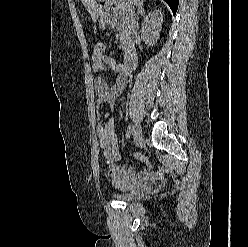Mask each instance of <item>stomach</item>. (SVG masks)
Masks as SVG:
<instances>
[{"mask_svg":"<svg viewBox=\"0 0 248 247\" xmlns=\"http://www.w3.org/2000/svg\"><path fill=\"white\" fill-rule=\"evenodd\" d=\"M101 26L104 27L105 26V23L103 21H101Z\"/></svg>","mask_w":248,"mask_h":247,"instance_id":"1","label":"stomach"}]
</instances>
